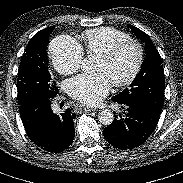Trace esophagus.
<instances>
[{
  "mask_svg": "<svg viewBox=\"0 0 183 183\" xmlns=\"http://www.w3.org/2000/svg\"><path fill=\"white\" fill-rule=\"evenodd\" d=\"M75 110H76L77 112H81V111H84V112L95 111V109H93V108L86 107V106H82V105L76 106V107H75Z\"/></svg>",
  "mask_w": 183,
  "mask_h": 183,
  "instance_id": "esophagus-1",
  "label": "esophagus"
}]
</instances>
